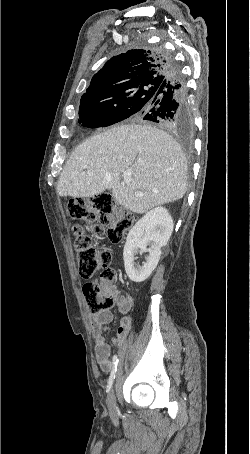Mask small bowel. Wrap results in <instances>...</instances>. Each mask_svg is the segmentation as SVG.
I'll return each mask as SVG.
<instances>
[{
	"label": "small bowel",
	"mask_w": 250,
	"mask_h": 454,
	"mask_svg": "<svg viewBox=\"0 0 250 454\" xmlns=\"http://www.w3.org/2000/svg\"><path fill=\"white\" fill-rule=\"evenodd\" d=\"M134 301L132 296L127 292H122L116 299V306L118 311L125 315L120 322L116 335L112 341L116 346H122L127 338L131 329L132 318L127 314L133 308ZM112 321V313L105 311L102 313L94 314L92 318V329L95 335V357L96 361L103 372H109L113 367L111 359V349L106 342V333L108 326Z\"/></svg>",
	"instance_id": "1"
}]
</instances>
